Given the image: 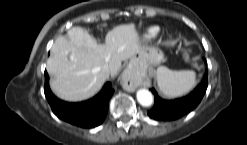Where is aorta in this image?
<instances>
[{
	"mask_svg": "<svg viewBox=\"0 0 247 145\" xmlns=\"http://www.w3.org/2000/svg\"><path fill=\"white\" fill-rule=\"evenodd\" d=\"M137 100L140 105L149 107L153 104V95L147 89H139L136 94Z\"/></svg>",
	"mask_w": 247,
	"mask_h": 145,
	"instance_id": "762f6f07",
	"label": "aorta"
}]
</instances>
